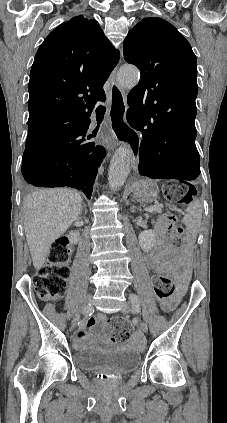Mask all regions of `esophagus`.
<instances>
[{
	"instance_id": "34e87169",
	"label": "esophagus",
	"mask_w": 227,
	"mask_h": 423,
	"mask_svg": "<svg viewBox=\"0 0 227 423\" xmlns=\"http://www.w3.org/2000/svg\"><path fill=\"white\" fill-rule=\"evenodd\" d=\"M117 69L118 67H116L111 74L112 83L109 92L110 98L108 116L111 119L110 125L113 126L116 139L120 144H125V147H129L132 155V168L133 171L137 173L141 139L139 135L136 134L135 130L132 129L131 124H124L127 104L125 101L124 91L116 81Z\"/></svg>"
}]
</instances>
